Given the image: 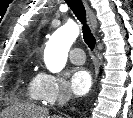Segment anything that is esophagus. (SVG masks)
<instances>
[{
	"label": "esophagus",
	"mask_w": 133,
	"mask_h": 118,
	"mask_svg": "<svg viewBox=\"0 0 133 118\" xmlns=\"http://www.w3.org/2000/svg\"><path fill=\"white\" fill-rule=\"evenodd\" d=\"M83 3H84V6H85V8L87 10L91 26H92L93 30H96L97 22H96L94 13H93V11L91 10V8L89 7V5H88V3L86 1H83Z\"/></svg>",
	"instance_id": "esophagus-1"
}]
</instances>
